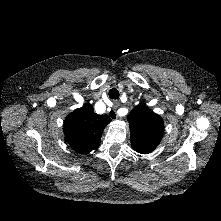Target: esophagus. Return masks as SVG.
Segmentation results:
<instances>
[{
  "label": "esophagus",
  "instance_id": "esophagus-1",
  "mask_svg": "<svg viewBox=\"0 0 221 221\" xmlns=\"http://www.w3.org/2000/svg\"><path fill=\"white\" fill-rule=\"evenodd\" d=\"M119 105H120V102L118 100L113 101L112 112H111L112 118H116V119L118 118L116 110L119 107Z\"/></svg>",
  "mask_w": 221,
  "mask_h": 221
}]
</instances>
